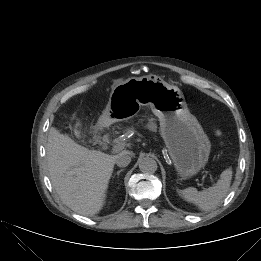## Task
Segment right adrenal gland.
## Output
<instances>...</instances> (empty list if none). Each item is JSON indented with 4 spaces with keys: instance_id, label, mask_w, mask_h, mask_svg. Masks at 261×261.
Wrapping results in <instances>:
<instances>
[{
    "instance_id": "1",
    "label": "right adrenal gland",
    "mask_w": 261,
    "mask_h": 261,
    "mask_svg": "<svg viewBox=\"0 0 261 261\" xmlns=\"http://www.w3.org/2000/svg\"><path fill=\"white\" fill-rule=\"evenodd\" d=\"M123 171V169H120L117 171V175L119 176V174Z\"/></svg>"
}]
</instances>
